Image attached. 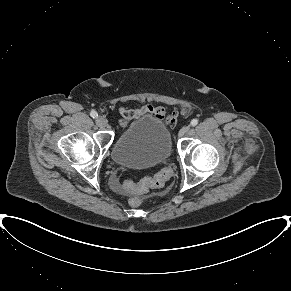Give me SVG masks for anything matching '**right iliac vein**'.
I'll list each match as a JSON object with an SVG mask.
<instances>
[{"instance_id":"right-iliac-vein-1","label":"right iliac vein","mask_w":291,"mask_h":291,"mask_svg":"<svg viewBox=\"0 0 291 291\" xmlns=\"http://www.w3.org/2000/svg\"><path fill=\"white\" fill-rule=\"evenodd\" d=\"M96 124L99 127H105L107 125V120L104 117L99 116L96 118Z\"/></svg>"}]
</instances>
